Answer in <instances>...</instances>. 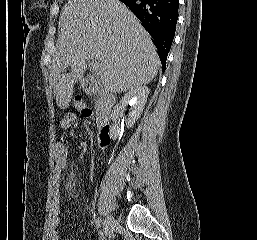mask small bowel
Returning <instances> with one entry per match:
<instances>
[{
  "instance_id": "obj_1",
  "label": "small bowel",
  "mask_w": 257,
  "mask_h": 240,
  "mask_svg": "<svg viewBox=\"0 0 257 240\" xmlns=\"http://www.w3.org/2000/svg\"><path fill=\"white\" fill-rule=\"evenodd\" d=\"M54 158L56 168L54 172V194L52 201V210L50 218V240H61L57 228L59 225V184L61 181L62 172L67 168L68 149L66 146V137H59L54 144ZM68 240V239H62Z\"/></svg>"
}]
</instances>
